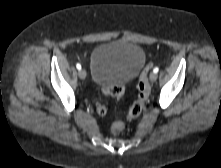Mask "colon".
Returning a JSON list of instances; mask_svg holds the SVG:
<instances>
[{
	"instance_id": "obj_1",
	"label": "colon",
	"mask_w": 221,
	"mask_h": 168,
	"mask_svg": "<svg viewBox=\"0 0 221 168\" xmlns=\"http://www.w3.org/2000/svg\"><path fill=\"white\" fill-rule=\"evenodd\" d=\"M153 64H148L143 73L140 76L138 82V97L131 105L127 112V119L137 118L144 107V104L149 96L150 87L148 83V72L152 68ZM105 94L111 95L117 99H121L125 93V88L122 84L116 83L109 86L105 91ZM96 110L99 115H104L106 113V107L101 102L96 103ZM123 129V124L121 122H114L110 126L111 133H118Z\"/></svg>"
}]
</instances>
